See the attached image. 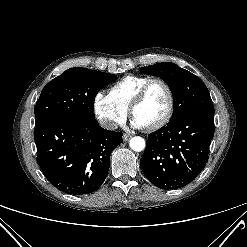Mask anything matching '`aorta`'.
I'll list each match as a JSON object with an SVG mask.
<instances>
[{
  "instance_id": "1",
  "label": "aorta",
  "mask_w": 247,
  "mask_h": 247,
  "mask_svg": "<svg viewBox=\"0 0 247 247\" xmlns=\"http://www.w3.org/2000/svg\"><path fill=\"white\" fill-rule=\"evenodd\" d=\"M129 146L133 151L140 152L145 148V140L140 136L130 139Z\"/></svg>"
}]
</instances>
